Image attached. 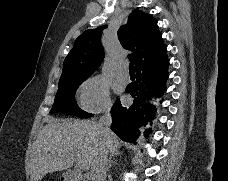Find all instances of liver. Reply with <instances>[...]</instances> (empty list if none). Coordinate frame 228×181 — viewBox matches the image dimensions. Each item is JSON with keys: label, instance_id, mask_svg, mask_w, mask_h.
I'll return each mask as SVG.
<instances>
[{"label": "liver", "instance_id": "obj_1", "mask_svg": "<svg viewBox=\"0 0 228 181\" xmlns=\"http://www.w3.org/2000/svg\"><path fill=\"white\" fill-rule=\"evenodd\" d=\"M93 121L49 119L37 135L29 161L30 181H42L48 173L71 169L75 157H81L91 167L92 157L101 147L120 155V139L115 133L96 135Z\"/></svg>", "mask_w": 228, "mask_h": 181}]
</instances>
